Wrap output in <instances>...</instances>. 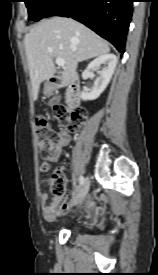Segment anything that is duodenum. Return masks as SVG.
<instances>
[{"label":"duodenum","mask_w":158,"mask_h":275,"mask_svg":"<svg viewBox=\"0 0 158 275\" xmlns=\"http://www.w3.org/2000/svg\"><path fill=\"white\" fill-rule=\"evenodd\" d=\"M54 87H65L66 101L69 109L74 110L80 104V87L77 81H65L61 76L51 78Z\"/></svg>","instance_id":"410a0bca"}]
</instances>
